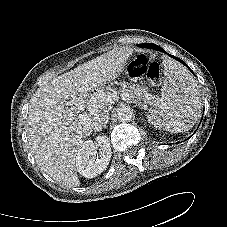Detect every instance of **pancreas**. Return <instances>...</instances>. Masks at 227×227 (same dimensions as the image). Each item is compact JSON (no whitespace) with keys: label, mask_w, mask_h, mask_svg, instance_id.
Returning <instances> with one entry per match:
<instances>
[{"label":"pancreas","mask_w":227,"mask_h":227,"mask_svg":"<svg viewBox=\"0 0 227 227\" xmlns=\"http://www.w3.org/2000/svg\"><path fill=\"white\" fill-rule=\"evenodd\" d=\"M127 93L129 96L126 97L127 100L129 101H134V100H139L141 98H145L147 96V92L145 91V89H143L140 86H136V85H130L127 84L126 82L122 83V88H121V94Z\"/></svg>","instance_id":"1"}]
</instances>
